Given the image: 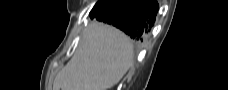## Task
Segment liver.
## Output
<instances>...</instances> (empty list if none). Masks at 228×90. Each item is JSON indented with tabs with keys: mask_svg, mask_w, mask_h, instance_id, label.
<instances>
[{
	"mask_svg": "<svg viewBox=\"0 0 228 90\" xmlns=\"http://www.w3.org/2000/svg\"><path fill=\"white\" fill-rule=\"evenodd\" d=\"M133 63V45L121 31L92 23L79 46L56 75L53 90H108L116 85Z\"/></svg>",
	"mask_w": 228,
	"mask_h": 90,
	"instance_id": "liver-1",
	"label": "liver"
}]
</instances>
